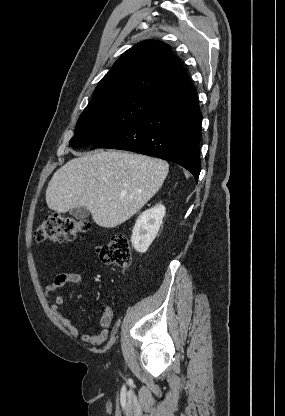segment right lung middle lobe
<instances>
[{"label":"right lung middle lobe","mask_w":285,"mask_h":416,"mask_svg":"<svg viewBox=\"0 0 285 416\" xmlns=\"http://www.w3.org/2000/svg\"><path fill=\"white\" fill-rule=\"evenodd\" d=\"M161 108L138 96H127L87 106L81 114L69 144L85 147L101 141Z\"/></svg>","instance_id":"1"}]
</instances>
